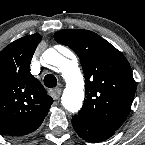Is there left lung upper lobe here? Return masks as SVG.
<instances>
[{"mask_svg": "<svg viewBox=\"0 0 145 145\" xmlns=\"http://www.w3.org/2000/svg\"><path fill=\"white\" fill-rule=\"evenodd\" d=\"M55 40L79 57L85 76L86 100L77 117L100 130L115 132L125 121L135 94V81L124 55L88 30L64 29Z\"/></svg>", "mask_w": 145, "mask_h": 145, "instance_id": "1", "label": "left lung upper lobe"}]
</instances>
